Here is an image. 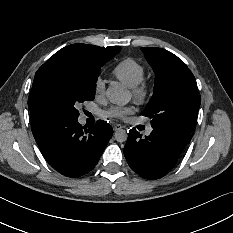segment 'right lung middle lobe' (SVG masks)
<instances>
[{
    "instance_id": "right-lung-middle-lobe-1",
    "label": "right lung middle lobe",
    "mask_w": 233,
    "mask_h": 233,
    "mask_svg": "<svg viewBox=\"0 0 233 233\" xmlns=\"http://www.w3.org/2000/svg\"><path fill=\"white\" fill-rule=\"evenodd\" d=\"M98 75L99 70L86 71L65 63L44 67L28 98L31 123L78 118L79 103L95 97Z\"/></svg>"
}]
</instances>
